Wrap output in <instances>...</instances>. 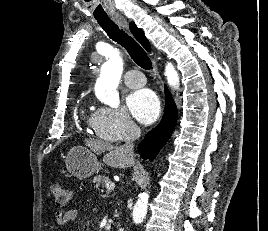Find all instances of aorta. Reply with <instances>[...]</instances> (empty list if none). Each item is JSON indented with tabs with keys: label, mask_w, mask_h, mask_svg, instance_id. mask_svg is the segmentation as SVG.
<instances>
[{
	"label": "aorta",
	"mask_w": 268,
	"mask_h": 231,
	"mask_svg": "<svg viewBox=\"0 0 268 231\" xmlns=\"http://www.w3.org/2000/svg\"><path fill=\"white\" fill-rule=\"evenodd\" d=\"M123 72V61L118 50H114L109 60L102 66L101 74L95 84V94L97 98L104 104L112 108H118L120 105L119 93L117 87L119 85ZM165 75L168 84L174 89L179 87V75L172 63H167L165 67ZM149 194L143 192L139 194L138 200L133 208V221L135 224L143 222L148 208Z\"/></svg>",
	"instance_id": "aorta-1"
}]
</instances>
